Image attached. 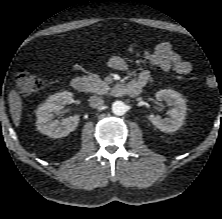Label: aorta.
<instances>
[{"label":"aorta","mask_w":222,"mask_h":219,"mask_svg":"<svg viewBox=\"0 0 222 219\" xmlns=\"http://www.w3.org/2000/svg\"><path fill=\"white\" fill-rule=\"evenodd\" d=\"M112 111L117 116L124 115L126 112V105L122 101H115L112 104Z\"/></svg>","instance_id":"obj_1"}]
</instances>
